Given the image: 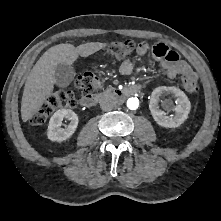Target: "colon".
Here are the masks:
<instances>
[{
  "label": "colon",
  "instance_id": "colon-1",
  "mask_svg": "<svg viewBox=\"0 0 221 221\" xmlns=\"http://www.w3.org/2000/svg\"><path fill=\"white\" fill-rule=\"evenodd\" d=\"M138 47L136 42L131 39L122 40L113 43L108 48V53L113 57L126 60L128 59L135 49ZM96 83V77L90 73H84L76 80V86L84 93H89L94 89ZM183 86L189 93H195L198 91V81L195 74H190L183 77ZM77 104L75 95L70 91L59 90L50 94L39 109L33 114L31 122L34 125H42L47 118L55 110L60 108L73 107Z\"/></svg>",
  "mask_w": 221,
  "mask_h": 221
}]
</instances>
